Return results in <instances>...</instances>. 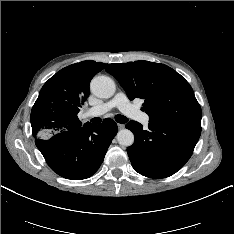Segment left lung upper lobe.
Returning <instances> with one entry per match:
<instances>
[{
  "mask_svg": "<svg viewBox=\"0 0 234 234\" xmlns=\"http://www.w3.org/2000/svg\"><path fill=\"white\" fill-rule=\"evenodd\" d=\"M113 75L130 100H144L142 110L149 122H201V108L193 89L183 76L172 68L149 61L109 64Z\"/></svg>",
  "mask_w": 234,
  "mask_h": 234,
  "instance_id": "5c2ea615",
  "label": "left lung upper lobe"
}]
</instances>
